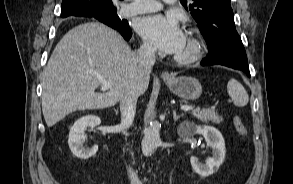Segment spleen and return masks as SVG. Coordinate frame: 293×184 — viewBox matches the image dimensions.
I'll return each instance as SVG.
<instances>
[{
	"instance_id": "3e777b00",
	"label": "spleen",
	"mask_w": 293,
	"mask_h": 184,
	"mask_svg": "<svg viewBox=\"0 0 293 184\" xmlns=\"http://www.w3.org/2000/svg\"><path fill=\"white\" fill-rule=\"evenodd\" d=\"M227 92L235 106L242 107L247 105L249 96L243 85L236 79H230L227 84Z\"/></svg>"
}]
</instances>
